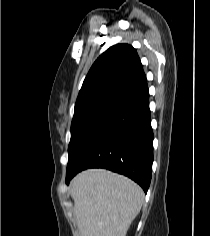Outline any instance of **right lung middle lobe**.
<instances>
[{"instance_id":"dd1d6c3e","label":"right lung middle lobe","mask_w":210,"mask_h":236,"mask_svg":"<svg viewBox=\"0 0 210 236\" xmlns=\"http://www.w3.org/2000/svg\"><path fill=\"white\" fill-rule=\"evenodd\" d=\"M130 92L128 89L119 88L75 105L71 124V140L68 147V162L88 133Z\"/></svg>"}]
</instances>
